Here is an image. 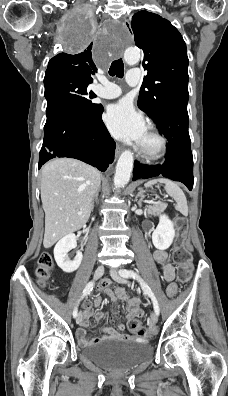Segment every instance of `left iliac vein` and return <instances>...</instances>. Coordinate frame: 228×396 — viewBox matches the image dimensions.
Listing matches in <instances>:
<instances>
[{
	"label": "left iliac vein",
	"mask_w": 228,
	"mask_h": 396,
	"mask_svg": "<svg viewBox=\"0 0 228 396\" xmlns=\"http://www.w3.org/2000/svg\"><path fill=\"white\" fill-rule=\"evenodd\" d=\"M110 275L111 277L118 283H126V279L122 277L116 270L111 269L110 270ZM158 322V315L156 314L155 311H152L151 313V323L156 324Z\"/></svg>",
	"instance_id": "left-iliac-vein-1"
}]
</instances>
